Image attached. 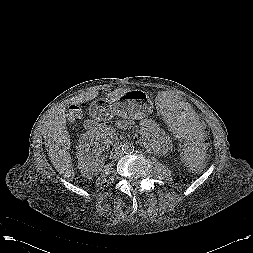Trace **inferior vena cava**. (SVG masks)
<instances>
[{
    "instance_id": "inferior-vena-cava-1",
    "label": "inferior vena cava",
    "mask_w": 253,
    "mask_h": 253,
    "mask_svg": "<svg viewBox=\"0 0 253 253\" xmlns=\"http://www.w3.org/2000/svg\"><path fill=\"white\" fill-rule=\"evenodd\" d=\"M122 154H123V152H122L121 150L116 149L115 152H114L113 157H114L115 159H117V158L121 157Z\"/></svg>"
}]
</instances>
